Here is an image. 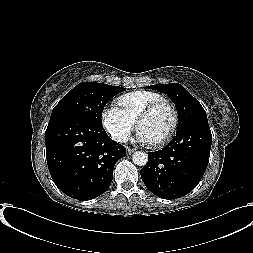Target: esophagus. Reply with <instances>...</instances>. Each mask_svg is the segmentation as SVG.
<instances>
[{
    "mask_svg": "<svg viewBox=\"0 0 253 253\" xmlns=\"http://www.w3.org/2000/svg\"><path fill=\"white\" fill-rule=\"evenodd\" d=\"M127 153L128 154H132L135 150L134 149H131V148H129V147H127Z\"/></svg>",
    "mask_w": 253,
    "mask_h": 253,
    "instance_id": "obj_1",
    "label": "esophagus"
}]
</instances>
